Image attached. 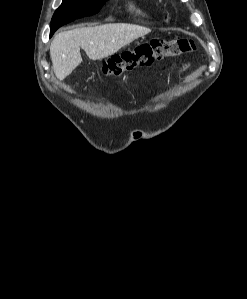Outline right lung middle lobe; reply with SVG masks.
Returning <instances> with one entry per match:
<instances>
[{
	"mask_svg": "<svg viewBox=\"0 0 247 299\" xmlns=\"http://www.w3.org/2000/svg\"><path fill=\"white\" fill-rule=\"evenodd\" d=\"M105 1L106 0H63L52 17L50 36L64 24L78 18L98 13Z\"/></svg>",
	"mask_w": 247,
	"mask_h": 299,
	"instance_id": "obj_1",
	"label": "right lung middle lobe"
}]
</instances>
